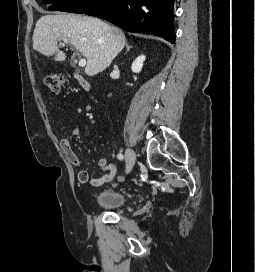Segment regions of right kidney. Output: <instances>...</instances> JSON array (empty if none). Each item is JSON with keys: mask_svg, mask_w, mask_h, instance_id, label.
Instances as JSON below:
<instances>
[{"mask_svg": "<svg viewBox=\"0 0 255 272\" xmlns=\"http://www.w3.org/2000/svg\"><path fill=\"white\" fill-rule=\"evenodd\" d=\"M145 61V56L141 55L135 59V61L132 63V71L134 73H140L143 67V62Z\"/></svg>", "mask_w": 255, "mask_h": 272, "instance_id": "ca27d5eb", "label": "right kidney"}]
</instances>
